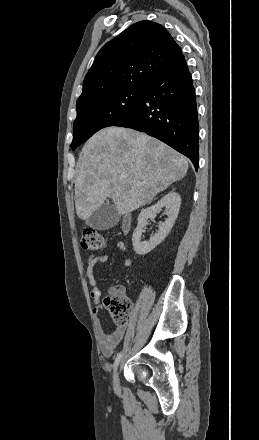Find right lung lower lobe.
<instances>
[{
  "mask_svg": "<svg viewBox=\"0 0 259 440\" xmlns=\"http://www.w3.org/2000/svg\"><path fill=\"white\" fill-rule=\"evenodd\" d=\"M113 126L155 137L187 156L198 169V118L195 90L184 56L158 76L134 110Z\"/></svg>",
  "mask_w": 259,
  "mask_h": 440,
  "instance_id": "1",
  "label": "right lung lower lobe"
}]
</instances>
